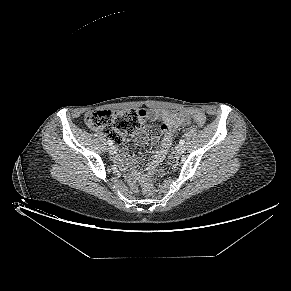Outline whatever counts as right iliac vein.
<instances>
[{
    "label": "right iliac vein",
    "mask_w": 291,
    "mask_h": 291,
    "mask_svg": "<svg viewBox=\"0 0 291 291\" xmlns=\"http://www.w3.org/2000/svg\"><path fill=\"white\" fill-rule=\"evenodd\" d=\"M108 151H109L110 154H114L116 149H115L114 146H110V147H108Z\"/></svg>",
    "instance_id": "right-iliac-vein-1"
}]
</instances>
